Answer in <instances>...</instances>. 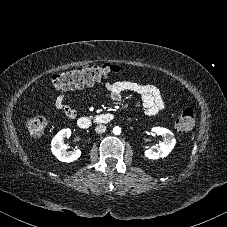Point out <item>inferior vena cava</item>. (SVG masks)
Returning a JSON list of instances; mask_svg holds the SVG:
<instances>
[{"mask_svg": "<svg viewBox=\"0 0 227 227\" xmlns=\"http://www.w3.org/2000/svg\"><path fill=\"white\" fill-rule=\"evenodd\" d=\"M96 133H104L106 131V126L105 125H98L95 128Z\"/></svg>", "mask_w": 227, "mask_h": 227, "instance_id": "1", "label": "inferior vena cava"}]
</instances>
